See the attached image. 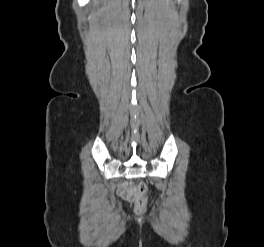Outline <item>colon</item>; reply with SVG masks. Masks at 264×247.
Listing matches in <instances>:
<instances>
[{
	"label": "colon",
	"instance_id": "1",
	"mask_svg": "<svg viewBox=\"0 0 264 247\" xmlns=\"http://www.w3.org/2000/svg\"><path fill=\"white\" fill-rule=\"evenodd\" d=\"M127 198H131V200L134 202L135 209L137 212H143L146 209V205L148 202V191L146 184L140 182L137 185L134 193Z\"/></svg>",
	"mask_w": 264,
	"mask_h": 247
}]
</instances>
